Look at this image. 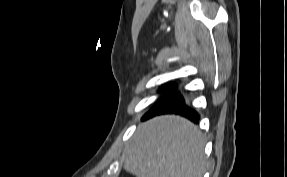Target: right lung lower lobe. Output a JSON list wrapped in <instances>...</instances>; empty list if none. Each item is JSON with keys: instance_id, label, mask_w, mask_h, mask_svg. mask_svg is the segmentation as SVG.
<instances>
[{"instance_id": "1", "label": "right lung lower lobe", "mask_w": 287, "mask_h": 177, "mask_svg": "<svg viewBox=\"0 0 287 177\" xmlns=\"http://www.w3.org/2000/svg\"><path fill=\"white\" fill-rule=\"evenodd\" d=\"M159 91L163 93V95L160 96L158 101L143 119H148L160 114L175 113L184 116L193 122L197 123L199 121L198 113L185 104L183 96L177 90L176 84H166L162 86Z\"/></svg>"}]
</instances>
